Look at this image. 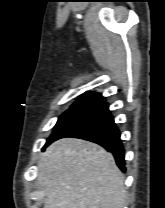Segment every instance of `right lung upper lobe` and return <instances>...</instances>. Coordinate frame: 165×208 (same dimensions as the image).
<instances>
[{
	"label": "right lung upper lobe",
	"instance_id": "right-lung-upper-lobe-1",
	"mask_svg": "<svg viewBox=\"0 0 165 208\" xmlns=\"http://www.w3.org/2000/svg\"><path fill=\"white\" fill-rule=\"evenodd\" d=\"M104 101L105 98L101 94L89 92L83 94L71 107H88L93 109Z\"/></svg>",
	"mask_w": 165,
	"mask_h": 208
}]
</instances>
